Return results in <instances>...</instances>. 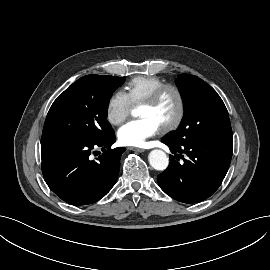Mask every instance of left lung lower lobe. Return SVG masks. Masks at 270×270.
I'll return each instance as SVG.
<instances>
[{"label": "left lung lower lobe", "instance_id": "0a47b994", "mask_svg": "<svg viewBox=\"0 0 270 270\" xmlns=\"http://www.w3.org/2000/svg\"><path fill=\"white\" fill-rule=\"evenodd\" d=\"M162 142L172 153L188 156L179 163L182 155H170L169 167L158 175V184L167 195L180 202L196 203L218 189L231 162L233 139L197 137L179 145L164 138Z\"/></svg>", "mask_w": 270, "mask_h": 270}]
</instances>
